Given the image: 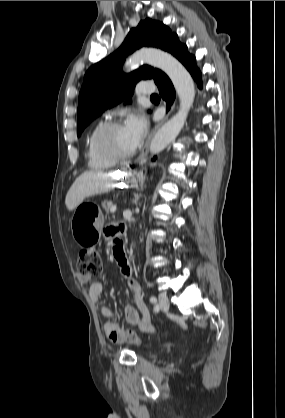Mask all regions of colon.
I'll use <instances>...</instances> for the list:
<instances>
[{"label":"colon","instance_id":"1","mask_svg":"<svg viewBox=\"0 0 285 418\" xmlns=\"http://www.w3.org/2000/svg\"><path fill=\"white\" fill-rule=\"evenodd\" d=\"M113 254L117 262L124 261L126 259L125 246L121 240H118L114 249ZM101 261L96 251L91 249H84L80 252L77 262V274L79 276L87 277L94 276L101 271ZM113 333L119 331L126 339L132 343H139V337L135 332L129 329L119 328L115 329L113 325L107 326Z\"/></svg>","mask_w":285,"mask_h":418}]
</instances>
